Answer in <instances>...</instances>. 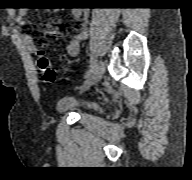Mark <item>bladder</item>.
Returning a JSON list of instances; mask_svg holds the SVG:
<instances>
[{
	"instance_id": "1",
	"label": "bladder",
	"mask_w": 192,
	"mask_h": 180,
	"mask_svg": "<svg viewBox=\"0 0 192 180\" xmlns=\"http://www.w3.org/2000/svg\"><path fill=\"white\" fill-rule=\"evenodd\" d=\"M98 105L93 102L79 100L74 96H64L57 100L56 109L59 112H67L81 109H97Z\"/></svg>"
}]
</instances>
